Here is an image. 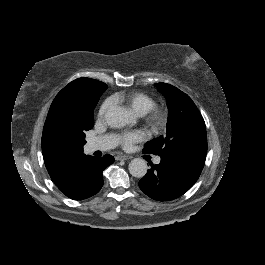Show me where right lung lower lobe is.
<instances>
[{"label":"right lung lower lobe","mask_w":265,"mask_h":265,"mask_svg":"<svg viewBox=\"0 0 265 265\" xmlns=\"http://www.w3.org/2000/svg\"><path fill=\"white\" fill-rule=\"evenodd\" d=\"M114 162V157L102 158L83 155L59 178L52 180L67 197L83 200L96 194L103 186V170Z\"/></svg>","instance_id":"1"}]
</instances>
